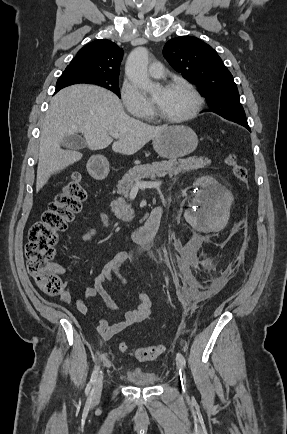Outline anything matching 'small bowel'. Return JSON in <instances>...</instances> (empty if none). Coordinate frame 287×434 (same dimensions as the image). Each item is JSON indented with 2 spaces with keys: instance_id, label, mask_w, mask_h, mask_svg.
I'll return each instance as SVG.
<instances>
[{
  "instance_id": "small-bowel-1",
  "label": "small bowel",
  "mask_w": 287,
  "mask_h": 434,
  "mask_svg": "<svg viewBox=\"0 0 287 434\" xmlns=\"http://www.w3.org/2000/svg\"><path fill=\"white\" fill-rule=\"evenodd\" d=\"M100 217L103 227L108 228L109 223L107 215L101 213ZM94 236L95 230L93 228H88L83 233V239L86 242H91ZM125 262L136 263V251L118 252L103 266L95 278L94 285L86 289L83 298L75 300L76 310L80 314L85 315L89 312L86 299L94 297H99L105 306L111 310H117L119 308L117 302L108 291L107 285L113 280H117L123 286L127 285V279L121 272V267ZM55 269L60 273L64 272V268L60 265H57ZM136 298L137 305L127 311L122 320L111 324L103 318H96L97 333L104 341L110 340L132 324L144 321L150 317L153 305L152 297L144 293H138L136 294ZM60 300L64 304H70L74 300L72 292L67 289L61 295Z\"/></svg>"
}]
</instances>
